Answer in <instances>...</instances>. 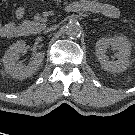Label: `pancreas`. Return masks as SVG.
Wrapping results in <instances>:
<instances>
[{"label":"pancreas","mask_w":135,"mask_h":135,"mask_svg":"<svg viewBox=\"0 0 135 135\" xmlns=\"http://www.w3.org/2000/svg\"><path fill=\"white\" fill-rule=\"evenodd\" d=\"M22 26L25 27L27 29V32L31 34L38 33L44 28V24L33 21H24L22 23Z\"/></svg>","instance_id":"pancreas-1"}]
</instances>
